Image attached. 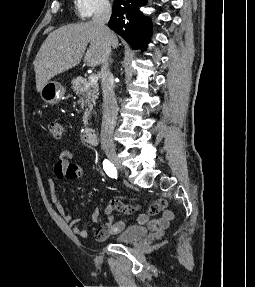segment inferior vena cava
<instances>
[{
  "label": "inferior vena cava",
  "instance_id": "1",
  "mask_svg": "<svg viewBox=\"0 0 255 287\" xmlns=\"http://www.w3.org/2000/svg\"><path fill=\"white\" fill-rule=\"evenodd\" d=\"M111 16V6L108 0H99L96 4V12L92 18V24H97L101 30L103 40V56L101 60V88L103 94L104 110L101 128V145L103 147H114L113 132L117 120L118 106L114 94V78L111 74L110 42L109 38L113 32L109 30L108 24Z\"/></svg>",
  "mask_w": 255,
  "mask_h": 287
}]
</instances>
